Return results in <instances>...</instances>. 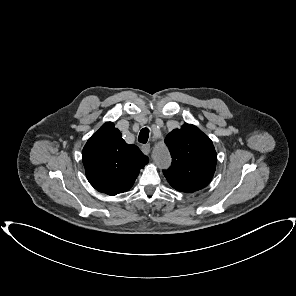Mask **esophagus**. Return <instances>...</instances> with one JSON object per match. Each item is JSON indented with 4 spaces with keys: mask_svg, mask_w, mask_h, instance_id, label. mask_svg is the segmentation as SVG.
<instances>
[{
    "mask_svg": "<svg viewBox=\"0 0 296 296\" xmlns=\"http://www.w3.org/2000/svg\"><path fill=\"white\" fill-rule=\"evenodd\" d=\"M140 148L144 154L147 155L150 153V144H143Z\"/></svg>",
    "mask_w": 296,
    "mask_h": 296,
    "instance_id": "34e87169",
    "label": "esophagus"
}]
</instances>
